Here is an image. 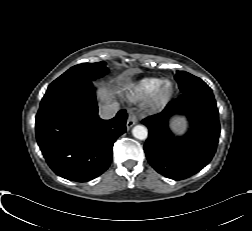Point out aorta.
Here are the masks:
<instances>
[{"mask_svg": "<svg viewBox=\"0 0 252 231\" xmlns=\"http://www.w3.org/2000/svg\"><path fill=\"white\" fill-rule=\"evenodd\" d=\"M132 134L135 138L139 140H145L148 137V130L143 125H136L132 129Z\"/></svg>", "mask_w": 252, "mask_h": 231, "instance_id": "1", "label": "aorta"}]
</instances>
